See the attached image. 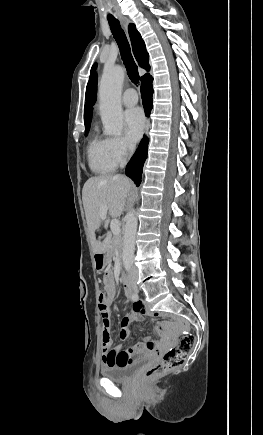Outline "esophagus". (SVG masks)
<instances>
[{
    "label": "esophagus",
    "instance_id": "34e87169",
    "mask_svg": "<svg viewBox=\"0 0 263 435\" xmlns=\"http://www.w3.org/2000/svg\"><path fill=\"white\" fill-rule=\"evenodd\" d=\"M121 22H122L123 26L125 27V29H127L128 24H129V20L128 19H121ZM148 129H149V120L147 119V121H146V128H145V134L146 135L148 133Z\"/></svg>",
    "mask_w": 263,
    "mask_h": 435
}]
</instances>
